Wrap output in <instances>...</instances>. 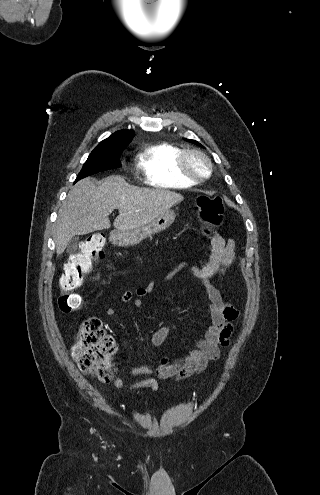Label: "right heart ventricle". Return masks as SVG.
<instances>
[{"label":"right heart ventricle","instance_id":"e07e8e85","mask_svg":"<svg viewBox=\"0 0 320 495\" xmlns=\"http://www.w3.org/2000/svg\"><path fill=\"white\" fill-rule=\"evenodd\" d=\"M182 149L169 142L146 146L137 156V167L145 181L160 188H187L195 183L182 176L177 160Z\"/></svg>","mask_w":320,"mask_h":495}]
</instances>
